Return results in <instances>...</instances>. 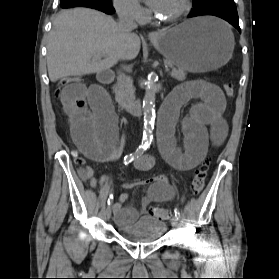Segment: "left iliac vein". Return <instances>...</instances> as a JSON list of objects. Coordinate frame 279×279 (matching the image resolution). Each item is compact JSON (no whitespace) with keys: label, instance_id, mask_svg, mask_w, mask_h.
Here are the masks:
<instances>
[{"label":"left iliac vein","instance_id":"left-iliac-vein-1","mask_svg":"<svg viewBox=\"0 0 279 279\" xmlns=\"http://www.w3.org/2000/svg\"><path fill=\"white\" fill-rule=\"evenodd\" d=\"M171 224H172V226H173L174 228H177V227H178L179 221H178V219H177L175 216L172 217V219H171Z\"/></svg>","mask_w":279,"mask_h":279}]
</instances>
